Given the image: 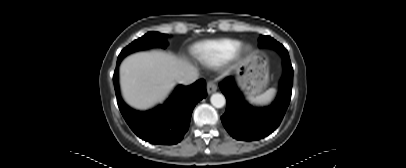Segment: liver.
I'll return each mask as SVG.
<instances>
[{
  "label": "liver",
  "mask_w": 406,
  "mask_h": 168,
  "mask_svg": "<svg viewBox=\"0 0 406 168\" xmlns=\"http://www.w3.org/2000/svg\"><path fill=\"white\" fill-rule=\"evenodd\" d=\"M194 67L170 53L153 50L127 57L120 66V85L125 101L140 110L161 103L177 77Z\"/></svg>",
  "instance_id": "liver-1"
}]
</instances>
